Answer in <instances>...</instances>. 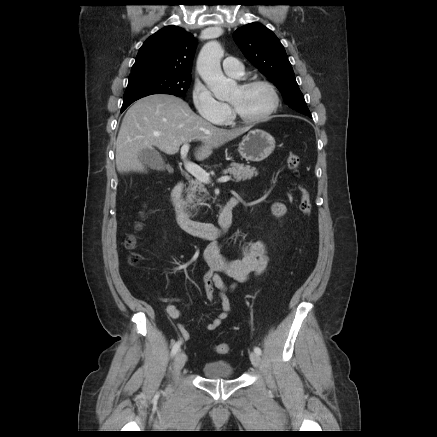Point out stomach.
<instances>
[{"mask_svg": "<svg viewBox=\"0 0 437 437\" xmlns=\"http://www.w3.org/2000/svg\"><path fill=\"white\" fill-rule=\"evenodd\" d=\"M275 149V139L264 130L255 129L239 143L238 152L247 161L265 160Z\"/></svg>", "mask_w": 437, "mask_h": 437, "instance_id": "1", "label": "stomach"}]
</instances>
